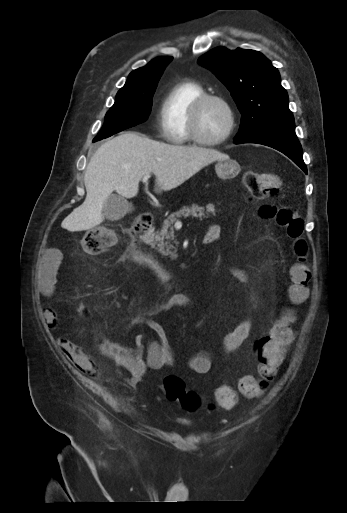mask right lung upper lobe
<instances>
[{
    "label": "right lung upper lobe",
    "mask_w": 347,
    "mask_h": 513,
    "mask_svg": "<svg viewBox=\"0 0 347 513\" xmlns=\"http://www.w3.org/2000/svg\"><path fill=\"white\" fill-rule=\"evenodd\" d=\"M172 60V57H158L153 59L146 66L136 69L128 76L124 87L121 89H137L158 82L165 67Z\"/></svg>",
    "instance_id": "1"
}]
</instances>
